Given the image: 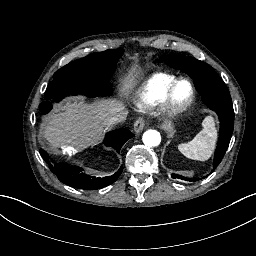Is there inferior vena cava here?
Returning <instances> with one entry per match:
<instances>
[{
	"instance_id": "602c4592",
	"label": "inferior vena cava",
	"mask_w": 256,
	"mask_h": 256,
	"mask_svg": "<svg viewBox=\"0 0 256 256\" xmlns=\"http://www.w3.org/2000/svg\"><path fill=\"white\" fill-rule=\"evenodd\" d=\"M127 114H128L127 111H121V112L115 113L114 115L108 117L106 119V121H107L108 124H120V125H122L127 120Z\"/></svg>"
}]
</instances>
